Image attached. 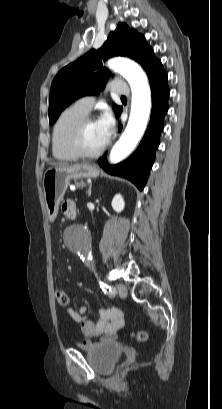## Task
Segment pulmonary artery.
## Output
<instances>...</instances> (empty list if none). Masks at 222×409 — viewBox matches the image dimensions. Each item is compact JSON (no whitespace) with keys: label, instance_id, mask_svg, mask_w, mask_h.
<instances>
[{"label":"pulmonary artery","instance_id":"pulmonary-artery-1","mask_svg":"<svg viewBox=\"0 0 222 409\" xmlns=\"http://www.w3.org/2000/svg\"><path fill=\"white\" fill-rule=\"evenodd\" d=\"M113 93L127 95L129 93V89L125 84H118L117 86H113L110 88ZM95 103V97L92 95L85 96L80 98L76 101V105L82 109L83 111L89 113Z\"/></svg>","mask_w":222,"mask_h":409}]
</instances>
